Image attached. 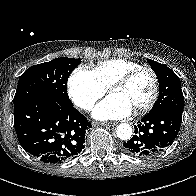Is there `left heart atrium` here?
<instances>
[{"label":"left heart atrium","mask_w":196,"mask_h":196,"mask_svg":"<svg viewBox=\"0 0 196 196\" xmlns=\"http://www.w3.org/2000/svg\"><path fill=\"white\" fill-rule=\"evenodd\" d=\"M132 111L125 101L115 95H109L94 108L92 114L98 120H114L125 118Z\"/></svg>","instance_id":"1"}]
</instances>
